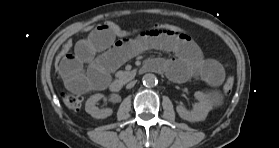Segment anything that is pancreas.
Instances as JSON below:
<instances>
[{
    "mask_svg": "<svg viewBox=\"0 0 279 148\" xmlns=\"http://www.w3.org/2000/svg\"><path fill=\"white\" fill-rule=\"evenodd\" d=\"M135 76V71H118L116 77L120 80L127 81Z\"/></svg>",
    "mask_w": 279,
    "mask_h": 148,
    "instance_id": "1",
    "label": "pancreas"
}]
</instances>
